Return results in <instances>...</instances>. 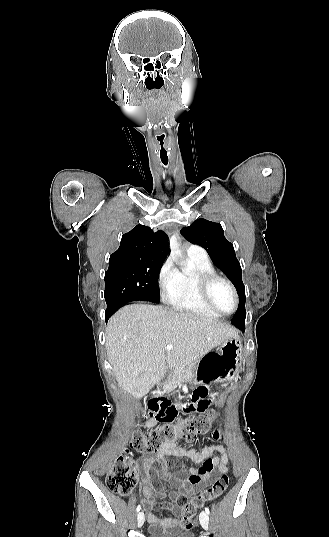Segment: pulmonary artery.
<instances>
[{
  "label": "pulmonary artery",
  "mask_w": 329,
  "mask_h": 537,
  "mask_svg": "<svg viewBox=\"0 0 329 537\" xmlns=\"http://www.w3.org/2000/svg\"><path fill=\"white\" fill-rule=\"evenodd\" d=\"M187 253L196 257H207L206 251L198 245H190L187 249Z\"/></svg>",
  "instance_id": "e3ab8cb5"
}]
</instances>
